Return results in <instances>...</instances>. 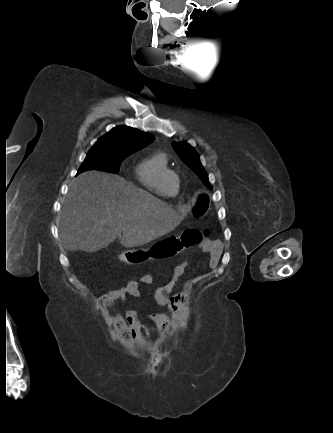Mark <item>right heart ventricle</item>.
<instances>
[{"instance_id": "1", "label": "right heart ventricle", "mask_w": 333, "mask_h": 433, "mask_svg": "<svg viewBox=\"0 0 333 433\" xmlns=\"http://www.w3.org/2000/svg\"><path fill=\"white\" fill-rule=\"evenodd\" d=\"M170 169L167 155L157 151L137 163L135 175L138 182L149 192L162 197H175L180 191V180L177 181L176 190L172 195L165 193L161 183L163 174Z\"/></svg>"}]
</instances>
